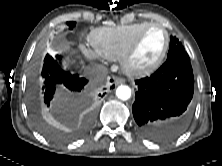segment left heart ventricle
Masks as SVG:
<instances>
[{
	"mask_svg": "<svg viewBox=\"0 0 222 166\" xmlns=\"http://www.w3.org/2000/svg\"><path fill=\"white\" fill-rule=\"evenodd\" d=\"M165 44V33L161 28L149 29L142 37L132 58L131 65L143 68L151 65L160 55Z\"/></svg>",
	"mask_w": 222,
	"mask_h": 166,
	"instance_id": "b2bd125f",
	"label": "left heart ventricle"
}]
</instances>
